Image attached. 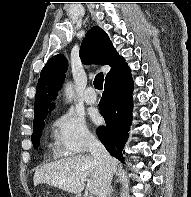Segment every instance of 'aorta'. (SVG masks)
<instances>
[{
    "label": "aorta",
    "instance_id": "aorta-1",
    "mask_svg": "<svg viewBox=\"0 0 191 197\" xmlns=\"http://www.w3.org/2000/svg\"><path fill=\"white\" fill-rule=\"evenodd\" d=\"M65 95L68 101H71L74 96L73 86L71 83H67L65 87Z\"/></svg>",
    "mask_w": 191,
    "mask_h": 197
}]
</instances>
